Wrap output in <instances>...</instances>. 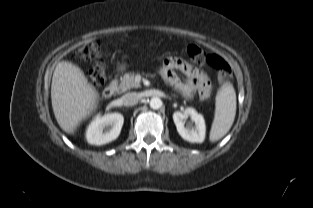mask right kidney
<instances>
[{
    "mask_svg": "<svg viewBox=\"0 0 313 208\" xmlns=\"http://www.w3.org/2000/svg\"><path fill=\"white\" fill-rule=\"evenodd\" d=\"M124 123L120 113L97 115L86 130V140L92 145H103L115 140Z\"/></svg>",
    "mask_w": 313,
    "mask_h": 208,
    "instance_id": "right-kidney-1",
    "label": "right kidney"
}]
</instances>
